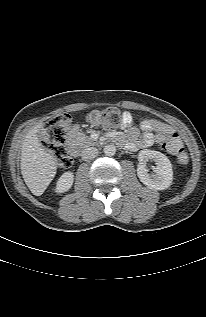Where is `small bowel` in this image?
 <instances>
[{
	"label": "small bowel",
	"instance_id": "small-bowel-1",
	"mask_svg": "<svg viewBox=\"0 0 206 317\" xmlns=\"http://www.w3.org/2000/svg\"><path fill=\"white\" fill-rule=\"evenodd\" d=\"M132 122V115L125 112L122 127L127 129L125 144L131 150L150 147L155 141L161 142L167 135L174 133L170 125L152 118L143 119L139 127L131 126ZM141 131L143 135L138 139ZM117 138L119 141H124L122 136Z\"/></svg>",
	"mask_w": 206,
	"mask_h": 317
}]
</instances>
